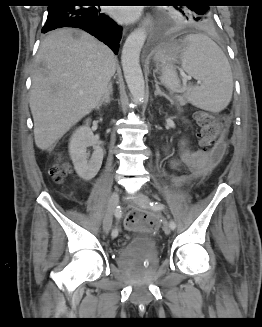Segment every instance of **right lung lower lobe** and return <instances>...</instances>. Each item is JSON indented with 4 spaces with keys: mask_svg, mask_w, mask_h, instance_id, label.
Wrapping results in <instances>:
<instances>
[{
    "mask_svg": "<svg viewBox=\"0 0 262 327\" xmlns=\"http://www.w3.org/2000/svg\"><path fill=\"white\" fill-rule=\"evenodd\" d=\"M41 32L57 28H80L105 43L117 54L122 31L112 19L101 13L98 6H76L78 0H52Z\"/></svg>",
    "mask_w": 262,
    "mask_h": 327,
    "instance_id": "98d812e1",
    "label": "right lung lower lobe"
}]
</instances>
